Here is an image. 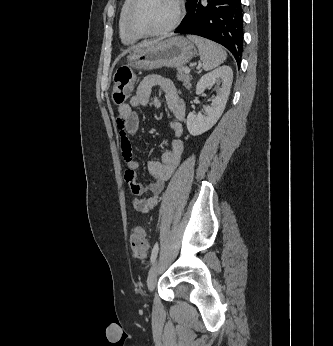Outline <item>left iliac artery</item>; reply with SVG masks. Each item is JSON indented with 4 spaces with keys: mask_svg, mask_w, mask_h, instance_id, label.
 I'll return each instance as SVG.
<instances>
[{
    "mask_svg": "<svg viewBox=\"0 0 333 346\" xmlns=\"http://www.w3.org/2000/svg\"><path fill=\"white\" fill-rule=\"evenodd\" d=\"M158 250H159V246H158V243H156L152 249V253H151V257H150L151 264H153L154 261L156 260Z\"/></svg>",
    "mask_w": 333,
    "mask_h": 346,
    "instance_id": "left-iliac-artery-1",
    "label": "left iliac artery"
}]
</instances>
